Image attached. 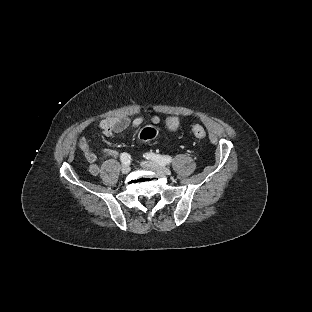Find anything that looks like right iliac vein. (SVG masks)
I'll use <instances>...</instances> for the list:
<instances>
[{"label":"right iliac vein","mask_w":312,"mask_h":312,"mask_svg":"<svg viewBox=\"0 0 312 312\" xmlns=\"http://www.w3.org/2000/svg\"><path fill=\"white\" fill-rule=\"evenodd\" d=\"M131 168L129 165L127 164H124L122 167H121V172L123 174H128L130 172Z\"/></svg>","instance_id":"63e3f726"}]
</instances>
